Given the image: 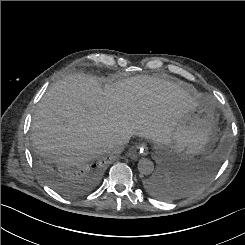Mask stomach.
<instances>
[{
    "instance_id": "1",
    "label": "stomach",
    "mask_w": 245,
    "mask_h": 245,
    "mask_svg": "<svg viewBox=\"0 0 245 245\" xmlns=\"http://www.w3.org/2000/svg\"><path fill=\"white\" fill-rule=\"evenodd\" d=\"M218 131L215 103L204 98L177 122L170 134L169 146L182 155H198L216 141Z\"/></svg>"
}]
</instances>
